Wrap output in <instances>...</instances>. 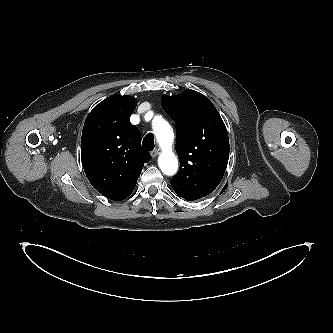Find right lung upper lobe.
Segmentation results:
<instances>
[{"instance_id": "right-lung-upper-lobe-1", "label": "right lung upper lobe", "mask_w": 333, "mask_h": 333, "mask_svg": "<svg viewBox=\"0 0 333 333\" xmlns=\"http://www.w3.org/2000/svg\"><path fill=\"white\" fill-rule=\"evenodd\" d=\"M137 105L132 96L112 95L89 113L81 138V159L91 185L113 201L127 198L150 155L129 121Z\"/></svg>"}]
</instances>
